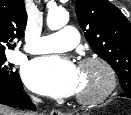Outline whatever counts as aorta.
<instances>
[{
    "mask_svg": "<svg viewBox=\"0 0 131 115\" xmlns=\"http://www.w3.org/2000/svg\"><path fill=\"white\" fill-rule=\"evenodd\" d=\"M69 21V14L65 10H56L48 13L47 25L51 30H58Z\"/></svg>",
    "mask_w": 131,
    "mask_h": 115,
    "instance_id": "762f6f07",
    "label": "aorta"
}]
</instances>
